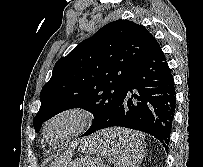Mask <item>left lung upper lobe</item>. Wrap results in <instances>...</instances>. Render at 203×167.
<instances>
[{"label":"left lung upper lobe","mask_w":203,"mask_h":167,"mask_svg":"<svg viewBox=\"0 0 203 167\" xmlns=\"http://www.w3.org/2000/svg\"><path fill=\"white\" fill-rule=\"evenodd\" d=\"M157 41L142 25L116 20L83 40L60 58L40 93L41 106L33 125L70 108H83L94 122L83 135L102 126L113 114L134 67Z\"/></svg>","instance_id":"1"}]
</instances>
